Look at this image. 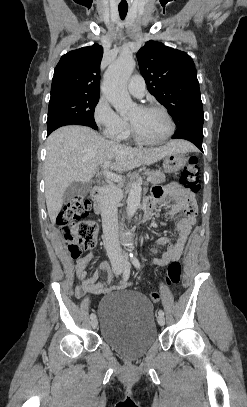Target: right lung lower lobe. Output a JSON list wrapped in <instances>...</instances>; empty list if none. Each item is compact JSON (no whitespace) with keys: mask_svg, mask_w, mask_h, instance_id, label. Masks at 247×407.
<instances>
[{"mask_svg":"<svg viewBox=\"0 0 247 407\" xmlns=\"http://www.w3.org/2000/svg\"><path fill=\"white\" fill-rule=\"evenodd\" d=\"M69 124H76V123L60 124V125H58V126H56V127H54V128H51V129L47 130V136H48L52 131H54L55 129H57V128L61 127V126H64V125H69ZM78 125H83V124H78Z\"/></svg>","mask_w":247,"mask_h":407,"instance_id":"1","label":"right lung lower lobe"}]
</instances>
